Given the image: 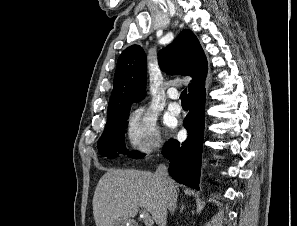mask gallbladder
Wrapping results in <instances>:
<instances>
[{"mask_svg": "<svg viewBox=\"0 0 297 226\" xmlns=\"http://www.w3.org/2000/svg\"><path fill=\"white\" fill-rule=\"evenodd\" d=\"M129 220L125 219V218H120L119 220H117L113 226H126L127 222Z\"/></svg>", "mask_w": 297, "mask_h": 226, "instance_id": "1", "label": "gallbladder"}]
</instances>
